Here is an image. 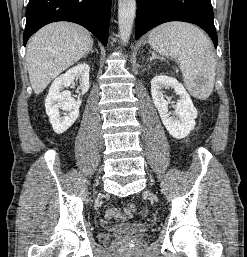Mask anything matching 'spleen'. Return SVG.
I'll use <instances>...</instances> for the list:
<instances>
[{
  "label": "spleen",
  "mask_w": 247,
  "mask_h": 257,
  "mask_svg": "<svg viewBox=\"0 0 247 257\" xmlns=\"http://www.w3.org/2000/svg\"><path fill=\"white\" fill-rule=\"evenodd\" d=\"M149 44L161 55L170 56L180 64L184 83L193 96L209 97L216 67L212 42L203 31L189 23L169 22L151 31Z\"/></svg>",
  "instance_id": "3e777b00"
}]
</instances>
